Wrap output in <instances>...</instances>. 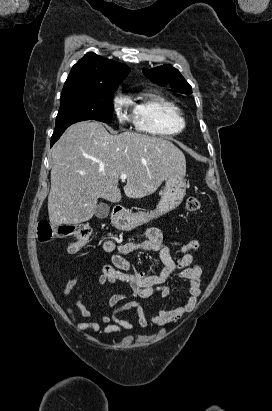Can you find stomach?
Returning <instances> with one entry per match:
<instances>
[{"label":"stomach","mask_w":272,"mask_h":411,"mask_svg":"<svg viewBox=\"0 0 272 411\" xmlns=\"http://www.w3.org/2000/svg\"><path fill=\"white\" fill-rule=\"evenodd\" d=\"M186 187L184 176L178 173L169 174L165 178V186L156 210L150 213H134L129 210H123L120 214L112 216V224L119 230L131 231L153 218L162 216L181 204L186 194Z\"/></svg>","instance_id":"stomach-1"}]
</instances>
